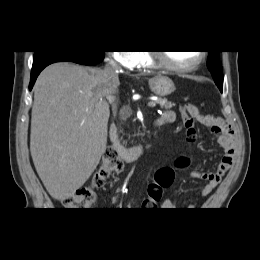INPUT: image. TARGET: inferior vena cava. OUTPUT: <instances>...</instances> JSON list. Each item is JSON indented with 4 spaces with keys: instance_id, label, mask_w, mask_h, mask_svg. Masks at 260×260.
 <instances>
[{
    "instance_id": "inferior-vena-cava-1",
    "label": "inferior vena cava",
    "mask_w": 260,
    "mask_h": 260,
    "mask_svg": "<svg viewBox=\"0 0 260 260\" xmlns=\"http://www.w3.org/2000/svg\"><path fill=\"white\" fill-rule=\"evenodd\" d=\"M119 66L113 61L110 60L104 67V72L106 75L111 78L112 80H118V70ZM118 84L115 85V88H117ZM115 108V106H114Z\"/></svg>"
}]
</instances>
